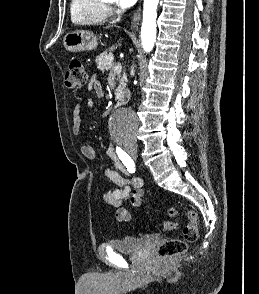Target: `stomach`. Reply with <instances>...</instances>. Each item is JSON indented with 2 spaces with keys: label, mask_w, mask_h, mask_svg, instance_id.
<instances>
[{
  "label": "stomach",
  "mask_w": 259,
  "mask_h": 294,
  "mask_svg": "<svg viewBox=\"0 0 259 294\" xmlns=\"http://www.w3.org/2000/svg\"><path fill=\"white\" fill-rule=\"evenodd\" d=\"M63 45L69 52L91 51L97 48L98 39L89 31H72L65 35Z\"/></svg>",
  "instance_id": "obj_1"
}]
</instances>
